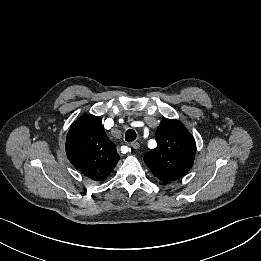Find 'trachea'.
<instances>
[{"label":"trachea","mask_w":261,"mask_h":261,"mask_svg":"<svg viewBox=\"0 0 261 261\" xmlns=\"http://www.w3.org/2000/svg\"><path fill=\"white\" fill-rule=\"evenodd\" d=\"M136 139V132L133 129H128L125 132V140L127 142H132Z\"/></svg>","instance_id":"obj_1"}]
</instances>
